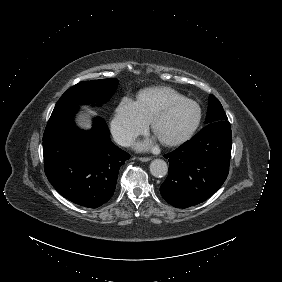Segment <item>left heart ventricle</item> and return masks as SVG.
Listing matches in <instances>:
<instances>
[{
  "label": "left heart ventricle",
  "instance_id": "obj_1",
  "mask_svg": "<svg viewBox=\"0 0 282 282\" xmlns=\"http://www.w3.org/2000/svg\"><path fill=\"white\" fill-rule=\"evenodd\" d=\"M196 113V106L191 103L175 108L158 124V136L163 139L179 136L194 120Z\"/></svg>",
  "mask_w": 282,
  "mask_h": 282
}]
</instances>
